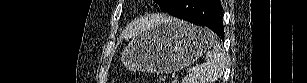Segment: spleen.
I'll return each instance as SVG.
<instances>
[{"label":"spleen","instance_id":"spleen-1","mask_svg":"<svg viewBox=\"0 0 307 83\" xmlns=\"http://www.w3.org/2000/svg\"><path fill=\"white\" fill-rule=\"evenodd\" d=\"M206 32L213 49L207 51L205 62L195 67L184 78L183 83H212L223 74L226 61L225 52L217 41L216 35L207 29Z\"/></svg>","mask_w":307,"mask_h":83}]
</instances>
